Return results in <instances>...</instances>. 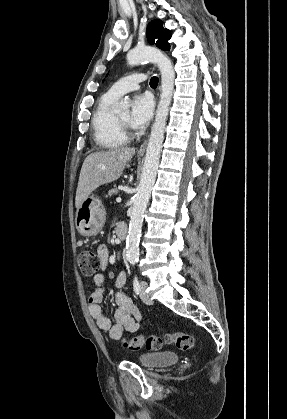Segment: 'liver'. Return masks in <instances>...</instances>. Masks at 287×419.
<instances>
[{
	"label": "liver",
	"mask_w": 287,
	"mask_h": 419,
	"mask_svg": "<svg viewBox=\"0 0 287 419\" xmlns=\"http://www.w3.org/2000/svg\"><path fill=\"white\" fill-rule=\"evenodd\" d=\"M134 154V148L124 147L89 154L83 162L79 176L76 208L98 187L119 179Z\"/></svg>",
	"instance_id": "6515ba94"
}]
</instances>
